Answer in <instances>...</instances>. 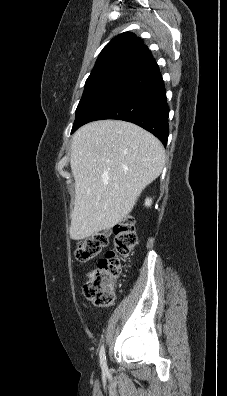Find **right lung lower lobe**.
<instances>
[{
	"mask_svg": "<svg viewBox=\"0 0 227 396\" xmlns=\"http://www.w3.org/2000/svg\"><path fill=\"white\" fill-rule=\"evenodd\" d=\"M168 117L164 82L156 61L151 59L99 102L77 128L95 120H124L146 129L166 145Z\"/></svg>",
	"mask_w": 227,
	"mask_h": 396,
	"instance_id": "98d812e1",
	"label": "right lung lower lobe"
}]
</instances>
